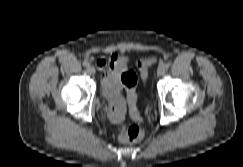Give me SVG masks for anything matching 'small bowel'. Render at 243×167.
<instances>
[{
  "label": "small bowel",
  "instance_id": "small-bowel-1",
  "mask_svg": "<svg viewBox=\"0 0 243 167\" xmlns=\"http://www.w3.org/2000/svg\"><path fill=\"white\" fill-rule=\"evenodd\" d=\"M126 58L121 53H114L107 60L99 58L96 61L98 69L101 71V91L103 97L108 102V116L114 123H121L126 112V103L121 95L120 74ZM130 113L134 119H139L136 103L132 106L129 102Z\"/></svg>",
  "mask_w": 243,
  "mask_h": 167
}]
</instances>
